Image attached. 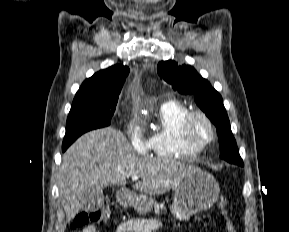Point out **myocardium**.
I'll return each instance as SVG.
<instances>
[{"label": "myocardium", "mask_w": 289, "mask_h": 232, "mask_svg": "<svg viewBox=\"0 0 289 232\" xmlns=\"http://www.w3.org/2000/svg\"><path fill=\"white\" fill-rule=\"evenodd\" d=\"M200 119L204 121L210 130V137L204 142H198L192 136V126L193 123ZM181 136L183 140L191 147L200 150H203L209 146L216 138V130L211 119L201 111H189L183 118L181 123Z\"/></svg>", "instance_id": "obj_1"}]
</instances>
